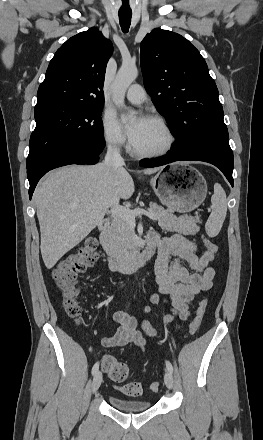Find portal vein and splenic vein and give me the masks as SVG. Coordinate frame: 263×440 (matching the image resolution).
I'll return each mask as SVG.
<instances>
[{
	"label": "portal vein and splenic vein",
	"instance_id": "obj_1",
	"mask_svg": "<svg viewBox=\"0 0 263 440\" xmlns=\"http://www.w3.org/2000/svg\"><path fill=\"white\" fill-rule=\"evenodd\" d=\"M111 213L117 217L127 220L132 226L135 225V217L137 215H145L153 220L159 218L153 211H145L142 209L133 211L120 205H114L111 207Z\"/></svg>",
	"mask_w": 263,
	"mask_h": 440
}]
</instances>
